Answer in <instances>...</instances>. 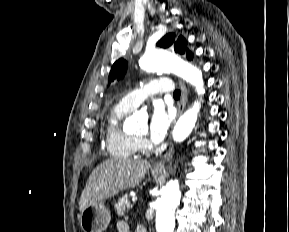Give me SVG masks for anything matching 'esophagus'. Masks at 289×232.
Returning <instances> with one entry per match:
<instances>
[{"label": "esophagus", "instance_id": "34e87169", "mask_svg": "<svg viewBox=\"0 0 289 232\" xmlns=\"http://www.w3.org/2000/svg\"><path fill=\"white\" fill-rule=\"evenodd\" d=\"M180 88H181V99L178 105V116H180L185 108V105L187 103V98H188V94H187V89L185 84L180 81ZM174 153V148L173 145H171L168 149V151L166 152V154L163 156V158H161L158 162H156L153 165V168L155 170H161L164 169V165L165 163L172 158Z\"/></svg>", "mask_w": 289, "mask_h": 232}]
</instances>
